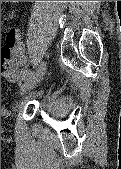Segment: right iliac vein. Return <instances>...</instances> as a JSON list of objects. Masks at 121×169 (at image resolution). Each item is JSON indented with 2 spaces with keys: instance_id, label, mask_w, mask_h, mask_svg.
<instances>
[{
  "instance_id": "right-iliac-vein-1",
  "label": "right iliac vein",
  "mask_w": 121,
  "mask_h": 169,
  "mask_svg": "<svg viewBox=\"0 0 121 169\" xmlns=\"http://www.w3.org/2000/svg\"><path fill=\"white\" fill-rule=\"evenodd\" d=\"M47 68V63L44 61L40 64L35 74L25 80L23 85L21 86V93H26L31 88H33L36 84L40 83L45 75Z\"/></svg>"
}]
</instances>
